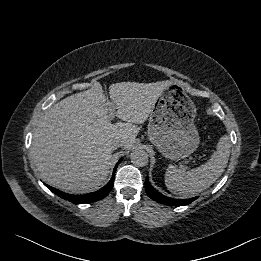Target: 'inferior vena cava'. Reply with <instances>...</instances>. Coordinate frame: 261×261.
Here are the masks:
<instances>
[{"instance_id": "1", "label": "inferior vena cava", "mask_w": 261, "mask_h": 261, "mask_svg": "<svg viewBox=\"0 0 261 261\" xmlns=\"http://www.w3.org/2000/svg\"><path fill=\"white\" fill-rule=\"evenodd\" d=\"M121 145H122L121 141L116 140V141H114V142L111 144V148H112L113 150H115L117 147H119V146H121Z\"/></svg>"}]
</instances>
